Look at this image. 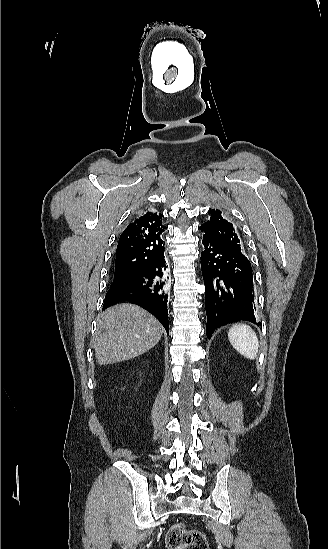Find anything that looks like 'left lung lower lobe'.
I'll return each mask as SVG.
<instances>
[{
	"instance_id": "obj_1",
	"label": "left lung lower lobe",
	"mask_w": 328,
	"mask_h": 549,
	"mask_svg": "<svg viewBox=\"0 0 328 549\" xmlns=\"http://www.w3.org/2000/svg\"><path fill=\"white\" fill-rule=\"evenodd\" d=\"M201 269L205 283L207 337L237 321L256 324L252 268L239 251L203 236Z\"/></svg>"
}]
</instances>
